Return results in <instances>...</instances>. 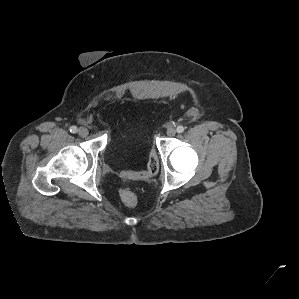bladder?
Returning a JSON list of instances; mask_svg holds the SVG:
<instances>
[{
	"mask_svg": "<svg viewBox=\"0 0 299 299\" xmlns=\"http://www.w3.org/2000/svg\"><path fill=\"white\" fill-rule=\"evenodd\" d=\"M123 139H125L129 147L133 149H139L144 145V139L141 133L126 134L121 131H117L111 138L108 147L110 149L117 150Z\"/></svg>",
	"mask_w": 299,
	"mask_h": 299,
	"instance_id": "1",
	"label": "bladder"
}]
</instances>
